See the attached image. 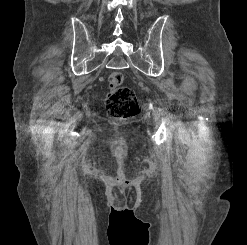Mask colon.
<instances>
[{"mask_svg":"<svg viewBox=\"0 0 247 245\" xmlns=\"http://www.w3.org/2000/svg\"><path fill=\"white\" fill-rule=\"evenodd\" d=\"M105 105L108 115L114 119H130L138 112L136 94L123 85V75L118 71H113L108 76Z\"/></svg>","mask_w":247,"mask_h":245,"instance_id":"colon-1","label":"colon"}]
</instances>
